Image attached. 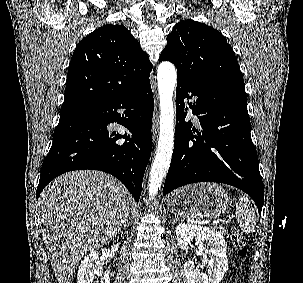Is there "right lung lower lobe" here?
Masks as SVG:
<instances>
[{"label": "right lung lower lobe", "instance_id": "right-lung-lower-lobe-1", "mask_svg": "<svg viewBox=\"0 0 303 283\" xmlns=\"http://www.w3.org/2000/svg\"><path fill=\"white\" fill-rule=\"evenodd\" d=\"M153 109L149 81L128 95L60 117L51 149L42 164L36 198L57 176L91 169L117 177L138 202L151 155ZM113 122L127 132L121 135L109 130L108 125Z\"/></svg>", "mask_w": 303, "mask_h": 283}]
</instances>
